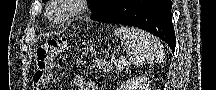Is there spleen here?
<instances>
[{"instance_id": "spleen-1", "label": "spleen", "mask_w": 216, "mask_h": 90, "mask_svg": "<svg viewBox=\"0 0 216 90\" xmlns=\"http://www.w3.org/2000/svg\"><path fill=\"white\" fill-rule=\"evenodd\" d=\"M115 36L123 40L127 56L135 66L151 64L154 60H159L162 54L158 38L139 28H116Z\"/></svg>"}]
</instances>
